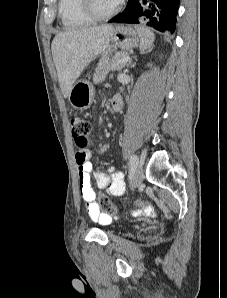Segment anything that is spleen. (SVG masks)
I'll list each match as a JSON object with an SVG mask.
<instances>
[{
	"instance_id": "spleen-1",
	"label": "spleen",
	"mask_w": 227,
	"mask_h": 298,
	"mask_svg": "<svg viewBox=\"0 0 227 298\" xmlns=\"http://www.w3.org/2000/svg\"><path fill=\"white\" fill-rule=\"evenodd\" d=\"M135 28L141 36L140 50L141 52H144L146 49H149L152 46L155 35L150 29L146 27L136 26Z\"/></svg>"
}]
</instances>
